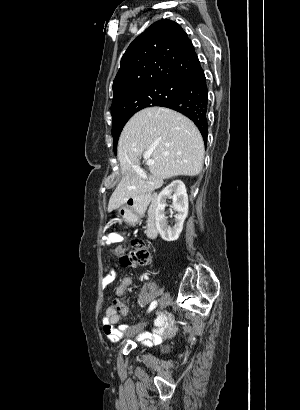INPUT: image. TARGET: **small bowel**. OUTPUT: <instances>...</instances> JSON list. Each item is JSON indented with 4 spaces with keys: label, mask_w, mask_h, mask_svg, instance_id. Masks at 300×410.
<instances>
[{
    "label": "small bowel",
    "mask_w": 300,
    "mask_h": 410,
    "mask_svg": "<svg viewBox=\"0 0 300 410\" xmlns=\"http://www.w3.org/2000/svg\"><path fill=\"white\" fill-rule=\"evenodd\" d=\"M118 235L112 234L109 237V242L113 243L119 241ZM117 251L121 252L122 248H118ZM116 277V271L113 268H108L103 276V285L107 286L114 281ZM131 277H124L119 286L116 289V297L113 299L111 305H109L102 318L103 331L111 342L119 341L127 332L132 331V327L129 325H120L116 327V324L120 321L123 315L128 312L127 305L122 301V296L125 289L132 283ZM175 332L174 326L170 322V317L164 313H159L156 319V325L153 334H142L141 337L145 344L150 345L153 342L161 340L162 337H170Z\"/></svg>",
    "instance_id": "1"
}]
</instances>
